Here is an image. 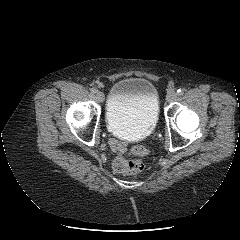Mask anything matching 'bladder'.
<instances>
[{"instance_id": "bladder-1", "label": "bladder", "mask_w": 240, "mask_h": 240, "mask_svg": "<svg viewBox=\"0 0 240 240\" xmlns=\"http://www.w3.org/2000/svg\"><path fill=\"white\" fill-rule=\"evenodd\" d=\"M159 118V96L155 85L143 77L116 81L109 90L106 125L118 136L136 138L151 133Z\"/></svg>"}]
</instances>
